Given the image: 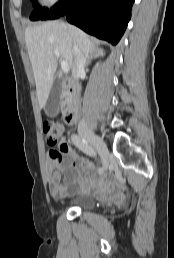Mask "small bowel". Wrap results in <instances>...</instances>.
Instances as JSON below:
<instances>
[{
	"label": "small bowel",
	"mask_w": 174,
	"mask_h": 258,
	"mask_svg": "<svg viewBox=\"0 0 174 258\" xmlns=\"http://www.w3.org/2000/svg\"><path fill=\"white\" fill-rule=\"evenodd\" d=\"M62 146L66 149L63 156L54 158L52 151L49 153L48 179L50 193L55 198H61L67 194L69 188L78 187L89 192L111 197L116 195V187L109 176L96 177V170L93 163L79 156L71 147L70 143L64 141ZM65 173L64 178L62 173Z\"/></svg>",
	"instance_id": "c3829d8e"
}]
</instances>
